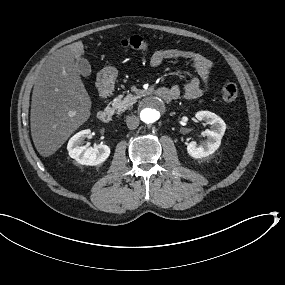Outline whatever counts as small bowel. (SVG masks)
<instances>
[{
    "label": "small bowel",
    "mask_w": 285,
    "mask_h": 285,
    "mask_svg": "<svg viewBox=\"0 0 285 285\" xmlns=\"http://www.w3.org/2000/svg\"><path fill=\"white\" fill-rule=\"evenodd\" d=\"M169 59L184 60L197 73L196 77L189 79L183 85H174L170 88L176 94V98L184 97L189 100L200 98L208 89L212 62L198 52L182 49L157 50L152 53L149 61L152 67H158Z\"/></svg>",
    "instance_id": "c3829d8e"
}]
</instances>
